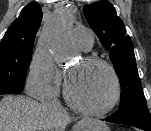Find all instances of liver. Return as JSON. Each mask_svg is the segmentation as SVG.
<instances>
[{"mask_svg":"<svg viewBox=\"0 0 151 131\" xmlns=\"http://www.w3.org/2000/svg\"><path fill=\"white\" fill-rule=\"evenodd\" d=\"M70 122L62 107L47 109L24 96H5L0 101V131H64Z\"/></svg>","mask_w":151,"mask_h":131,"instance_id":"6515ba94","label":"liver"}]
</instances>
